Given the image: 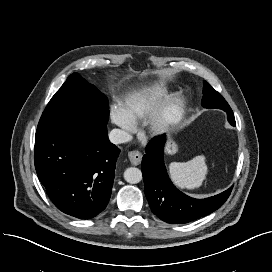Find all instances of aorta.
<instances>
[{"instance_id":"aorta-1","label":"aorta","mask_w":272,"mask_h":272,"mask_svg":"<svg viewBox=\"0 0 272 272\" xmlns=\"http://www.w3.org/2000/svg\"><path fill=\"white\" fill-rule=\"evenodd\" d=\"M124 179L130 184L139 183L142 180V172L136 167H129L124 172Z\"/></svg>"}]
</instances>
